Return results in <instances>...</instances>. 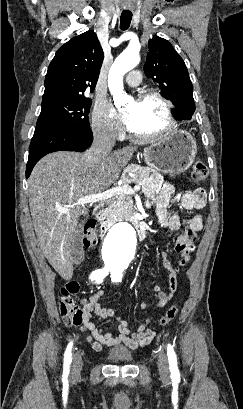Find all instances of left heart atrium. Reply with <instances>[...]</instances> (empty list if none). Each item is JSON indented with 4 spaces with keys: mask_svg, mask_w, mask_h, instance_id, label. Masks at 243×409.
I'll return each instance as SVG.
<instances>
[{
    "mask_svg": "<svg viewBox=\"0 0 243 409\" xmlns=\"http://www.w3.org/2000/svg\"><path fill=\"white\" fill-rule=\"evenodd\" d=\"M121 118H122L124 124L128 127V125H129V118H128V116H127L126 114H124Z\"/></svg>",
    "mask_w": 243,
    "mask_h": 409,
    "instance_id": "1",
    "label": "left heart atrium"
}]
</instances>
